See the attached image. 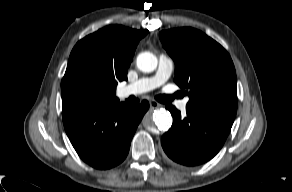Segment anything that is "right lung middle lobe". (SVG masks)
I'll use <instances>...</instances> for the list:
<instances>
[{"mask_svg":"<svg viewBox=\"0 0 292 192\" xmlns=\"http://www.w3.org/2000/svg\"><path fill=\"white\" fill-rule=\"evenodd\" d=\"M62 102L69 107L95 106L104 90L95 77L77 71L61 84Z\"/></svg>","mask_w":292,"mask_h":192,"instance_id":"obj_1","label":"right lung middle lobe"}]
</instances>
